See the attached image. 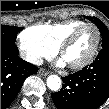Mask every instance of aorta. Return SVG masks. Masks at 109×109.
<instances>
[{
  "mask_svg": "<svg viewBox=\"0 0 109 109\" xmlns=\"http://www.w3.org/2000/svg\"><path fill=\"white\" fill-rule=\"evenodd\" d=\"M47 86L52 91H58L61 88V79L57 75H50L47 78Z\"/></svg>",
  "mask_w": 109,
  "mask_h": 109,
  "instance_id": "1",
  "label": "aorta"
}]
</instances>
